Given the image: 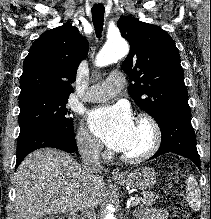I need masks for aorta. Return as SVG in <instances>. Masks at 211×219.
<instances>
[{
	"label": "aorta",
	"instance_id": "1",
	"mask_svg": "<svg viewBox=\"0 0 211 219\" xmlns=\"http://www.w3.org/2000/svg\"><path fill=\"white\" fill-rule=\"evenodd\" d=\"M129 46L123 39L108 41L97 55V65L106 66L114 61L126 56ZM104 219H116L113 213L109 212Z\"/></svg>",
	"mask_w": 211,
	"mask_h": 219
}]
</instances>
